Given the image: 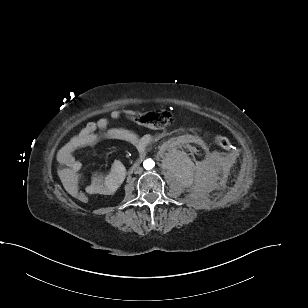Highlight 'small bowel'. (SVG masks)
<instances>
[{
  "label": "small bowel",
  "mask_w": 308,
  "mask_h": 308,
  "mask_svg": "<svg viewBox=\"0 0 308 308\" xmlns=\"http://www.w3.org/2000/svg\"><path fill=\"white\" fill-rule=\"evenodd\" d=\"M121 112L113 110L110 118L118 119ZM112 139L129 143L139 150H144L150 143L157 139V135L146 134L140 136L135 132L125 128H110L109 119L101 117L96 121H89L80 132L66 142L57 153L58 162L65 167L64 176L68 191L74 195L81 190L80 169L81 163L74 156V152L82 147L95 145L100 139ZM125 166L116 160L113 162L108 174L101 176L95 175L92 180L84 187L88 195H111L113 194L125 177Z\"/></svg>",
  "instance_id": "c3829d8e"
}]
</instances>
